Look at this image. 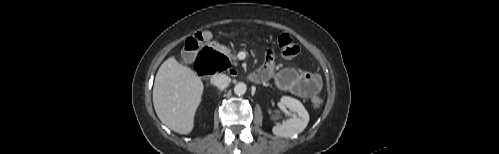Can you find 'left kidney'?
<instances>
[{
  "label": "left kidney",
  "mask_w": 499,
  "mask_h": 154,
  "mask_svg": "<svg viewBox=\"0 0 499 154\" xmlns=\"http://www.w3.org/2000/svg\"><path fill=\"white\" fill-rule=\"evenodd\" d=\"M280 102L283 106L290 109L292 117L282 124L274 126L272 132L277 136L285 138L301 133L309 122V114L303 104L299 100L289 96H283Z\"/></svg>",
  "instance_id": "5707ae66"
}]
</instances>
